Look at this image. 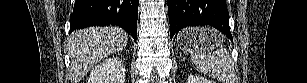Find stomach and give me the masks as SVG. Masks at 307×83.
<instances>
[{"label": "stomach", "mask_w": 307, "mask_h": 83, "mask_svg": "<svg viewBox=\"0 0 307 83\" xmlns=\"http://www.w3.org/2000/svg\"><path fill=\"white\" fill-rule=\"evenodd\" d=\"M177 39L182 50L192 52L198 46L199 34L194 28H189L180 32Z\"/></svg>", "instance_id": "1"}]
</instances>
